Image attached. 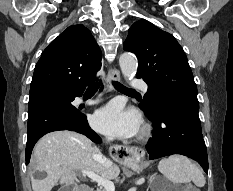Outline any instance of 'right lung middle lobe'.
<instances>
[{
  "label": "right lung middle lobe",
  "instance_id": "1",
  "mask_svg": "<svg viewBox=\"0 0 233 191\" xmlns=\"http://www.w3.org/2000/svg\"><path fill=\"white\" fill-rule=\"evenodd\" d=\"M74 98L71 95L57 91H42L40 94L29 99V110L40 102L52 103L69 110L77 111L71 104Z\"/></svg>",
  "mask_w": 233,
  "mask_h": 191
}]
</instances>
